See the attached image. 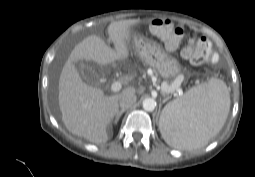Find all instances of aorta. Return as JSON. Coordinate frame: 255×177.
Wrapping results in <instances>:
<instances>
[{
  "label": "aorta",
  "mask_w": 255,
  "mask_h": 177,
  "mask_svg": "<svg viewBox=\"0 0 255 177\" xmlns=\"http://www.w3.org/2000/svg\"><path fill=\"white\" fill-rule=\"evenodd\" d=\"M142 105L145 111L152 112L156 107V101L153 98H146L143 100Z\"/></svg>",
  "instance_id": "aorta-1"
}]
</instances>
